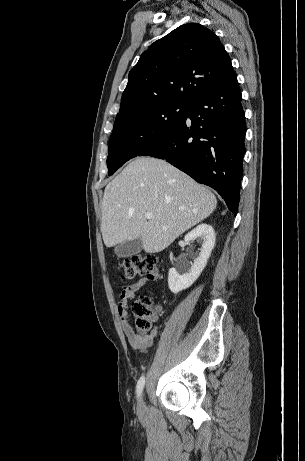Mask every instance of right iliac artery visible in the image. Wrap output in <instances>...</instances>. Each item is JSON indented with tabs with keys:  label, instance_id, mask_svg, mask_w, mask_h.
I'll list each match as a JSON object with an SVG mask.
<instances>
[{
	"label": "right iliac artery",
	"instance_id": "obj_1",
	"mask_svg": "<svg viewBox=\"0 0 305 461\" xmlns=\"http://www.w3.org/2000/svg\"><path fill=\"white\" fill-rule=\"evenodd\" d=\"M144 384H145V377L142 376L138 380L137 387H136L137 397H140V395H141V393L143 391V388H144Z\"/></svg>",
	"mask_w": 305,
	"mask_h": 461
}]
</instances>
